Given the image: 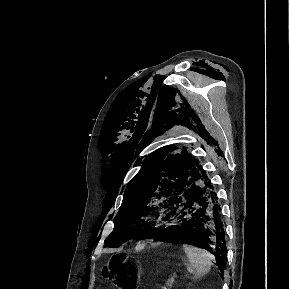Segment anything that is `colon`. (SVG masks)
<instances>
[{
	"instance_id": "1",
	"label": "colon",
	"mask_w": 289,
	"mask_h": 289,
	"mask_svg": "<svg viewBox=\"0 0 289 289\" xmlns=\"http://www.w3.org/2000/svg\"><path fill=\"white\" fill-rule=\"evenodd\" d=\"M103 277L111 280L118 289H136L139 279L138 269L121 259L107 265L102 270Z\"/></svg>"
}]
</instances>
